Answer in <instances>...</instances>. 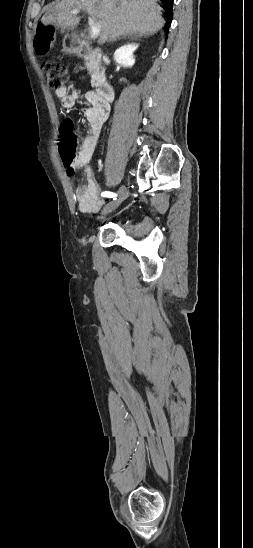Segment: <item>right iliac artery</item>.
<instances>
[{"label":"right iliac artery","instance_id":"82829eb1","mask_svg":"<svg viewBox=\"0 0 253 548\" xmlns=\"http://www.w3.org/2000/svg\"><path fill=\"white\" fill-rule=\"evenodd\" d=\"M101 196L103 197H108V198H113L114 200H116L117 198V194L116 193H113V192H108V191H105V192H102L101 193Z\"/></svg>","mask_w":253,"mask_h":548}]
</instances>
